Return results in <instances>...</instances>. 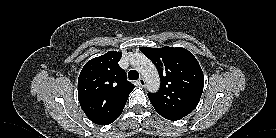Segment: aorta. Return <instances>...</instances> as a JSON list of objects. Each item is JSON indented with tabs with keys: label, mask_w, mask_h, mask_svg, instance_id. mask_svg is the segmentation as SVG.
Instances as JSON below:
<instances>
[{
	"label": "aorta",
	"mask_w": 276,
	"mask_h": 138,
	"mask_svg": "<svg viewBox=\"0 0 276 138\" xmlns=\"http://www.w3.org/2000/svg\"><path fill=\"white\" fill-rule=\"evenodd\" d=\"M131 64L139 72L150 92H157L160 87V77L157 68L144 54L136 53L131 58Z\"/></svg>",
	"instance_id": "762f6f07"
}]
</instances>
